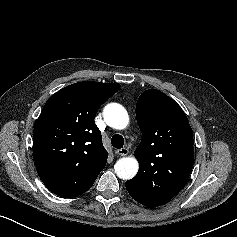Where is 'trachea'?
<instances>
[{
	"label": "trachea",
	"mask_w": 237,
	"mask_h": 237,
	"mask_svg": "<svg viewBox=\"0 0 237 237\" xmlns=\"http://www.w3.org/2000/svg\"><path fill=\"white\" fill-rule=\"evenodd\" d=\"M111 144L114 148L121 149L124 146V138L119 134H115L111 139Z\"/></svg>",
	"instance_id": "3493384b"
}]
</instances>
